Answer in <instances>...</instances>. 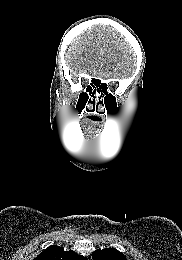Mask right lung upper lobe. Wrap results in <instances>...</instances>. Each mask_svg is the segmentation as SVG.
<instances>
[{
  "label": "right lung upper lobe",
  "instance_id": "right-lung-upper-lobe-1",
  "mask_svg": "<svg viewBox=\"0 0 182 260\" xmlns=\"http://www.w3.org/2000/svg\"><path fill=\"white\" fill-rule=\"evenodd\" d=\"M34 260H87L85 257L75 253L74 251H64L57 245L49 246Z\"/></svg>",
  "mask_w": 182,
  "mask_h": 260
}]
</instances>
